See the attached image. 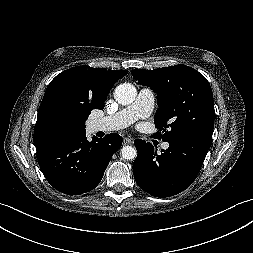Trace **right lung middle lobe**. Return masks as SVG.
I'll return each instance as SVG.
<instances>
[{
  "mask_svg": "<svg viewBox=\"0 0 253 253\" xmlns=\"http://www.w3.org/2000/svg\"><path fill=\"white\" fill-rule=\"evenodd\" d=\"M92 109L88 104L72 105L54 100L48 104L45 111V130L52 136L85 131V121Z\"/></svg>",
  "mask_w": 253,
  "mask_h": 253,
  "instance_id": "right-lung-middle-lobe-1",
  "label": "right lung middle lobe"
}]
</instances>
